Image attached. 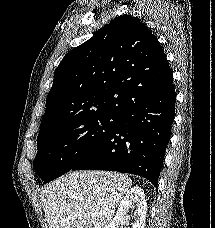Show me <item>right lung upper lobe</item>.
I'll list each match as a JSON object with an SVG mask.
<instances>
[{"instance_id": "right-lung-upper-lobe-1", "label": "right lung upper lobe", "mask_w": 215, "mask_h": 228, "mask_svg": "<svg viewBox=\"0 0 215 228\" xmlns=\"http://www.w3.org/2000/svg\"><path fill=\"white\" fill-rule=\"evenodd\" d=\"M172 76L150 29L131 15L116 17L60 62L40 129L101 113L120 114L159 93Z\"/></svg>"}]
</instances>
